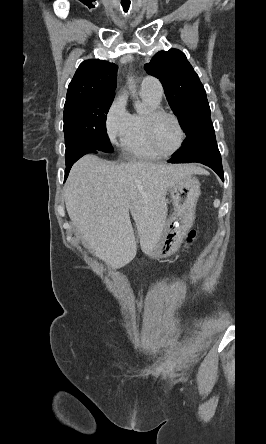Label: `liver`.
I'll return each instance as SVG.
<instances>
[{"label":"liver","instance_id":"1","mask_svg":"<svg viewBox=\"0 0 266 444\" xmlns=\"http://www.w3.org/2000/svg\"><path fill=\"white\" fill-rule=\"evenodd\" d=\"M203 170L191 164H113L88 154L72 167L64 187L68 215L92 252L113 269L136 256L132 215L141 249L150 253L167 217L166 194Z\"/></svg>","mask_w":266,"mask_h":444}]
</instances>
